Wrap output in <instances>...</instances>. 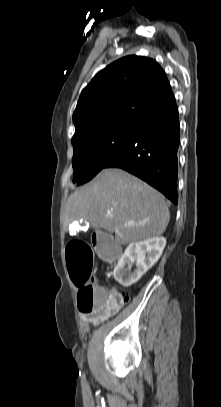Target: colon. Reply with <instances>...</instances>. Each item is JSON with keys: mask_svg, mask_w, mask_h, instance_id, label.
<instances>
[{"mask_svg": "<svg viewBox=\"0 0 221 407\" xmlns=\"http://www.w3.org/2000/svg\"><path fill=\"white\" fill-rule=\"evenodd\" d=\"M92 246V248H91ZM91 246L81 240L71 241L66 250L67 265L71 279L78 287V303L82 313L100 315L115 314L130 299L128 291H116L94 284L91 281L93 250L102 261H119L121 247L112 234L97 231Z\"/></svg>", "mask_w": 221, "mask_h": 407, "instance_id": "obj_1", "label": "colon"}]
</instances>
